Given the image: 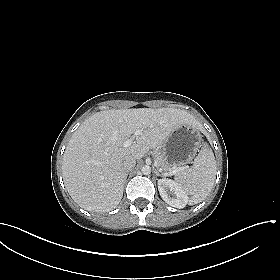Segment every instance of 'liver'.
Wrapping results in <instances>:
<instances>
[{
    "instance_id": "obj_1",
    "label": "liver",
    "mask_w": 280,
    "mask_h": 280,
    "mask_svg": "<svg viewBox=\"0 0 280 280\" xmlns=\"http://www.w3.org/2000/svg\"><path fill=\"white\" fill-rule=\"evenodd\" d=\"M185 123L198 126L191 114L175 108L96 112L73 133L64 152L62 173L68 193L85 210L114 209L123 196L124 158H143ZM136 130L140 135L123 147Z\"/></svg>"
}]
</instances>
